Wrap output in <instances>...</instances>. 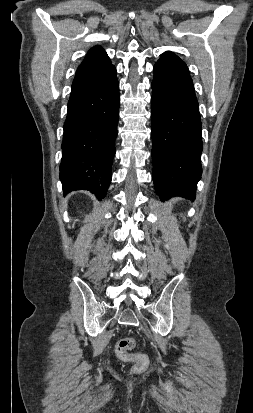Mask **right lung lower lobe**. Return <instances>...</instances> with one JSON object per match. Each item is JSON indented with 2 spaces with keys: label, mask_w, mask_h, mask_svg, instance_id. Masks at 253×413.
<instances>
[{
  "label": "right lung lower lobe",
  "mask_w": 253,
  "mask_h": 413,
  "mask_svg": "<svg viewBox=\"0 0 253 413\" xmlns=\"http://www.w3.org/2000/svg\"><path fill=\"white\" fill-rule=\"evenodd\" d=\"M116 68L90 89L70 96L64 123L60 180L63 190H89L99 199L111 182L119 119Z\"/></svg>",
  "instance_id": "1"
}]
</instances>
